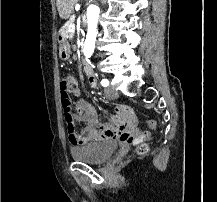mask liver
Segmentation results:
<instances>
[{
    "label": "liver",
    "instance_id": "1",
    "mask_svg": "<svg viewBox=\"0 0 217 202\" xmlns=\"http://www.w3.org/2000/svg\"><path fill=\"white\" fill-rule=\"evenodd\" d=\"M78 0H56L57 10L62 20H68L74 12V6Z\"/></svg>",
    "mask_w": 217,
    "mask_h": 202
}]
</instances>
